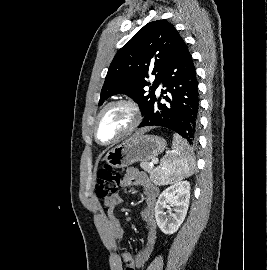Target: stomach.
<instances>
[{
    "label": "stomach",
    "instance_id": "0dacf381",
    "mask_svg": "<svg viewBox=\"0 0 267 270\" xmlns=\"http://www.w3.org/2000/svg\"><path fill=\"white\" fill-rule=\"evenodd\" d=\"M166 140L157 135L142 134L113 147L105 156L114 168H124L138 161H149L161 154Z\"/></svg>",
    "mask_w": 267,
    "mask_h": 270
}]
</instances>
